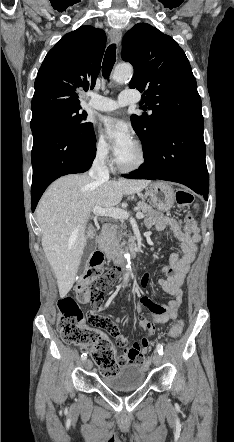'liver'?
<instances>
[{
  "label": "liver",
  "mask_w": 234,
  "mask_h": 442,
  "mask_svg": "<svg viewBox=\"0 0 234 442\" xmlns=\"http://www.w3.org/2000/svg\"><path fill=\"white\" fill-rule=\"evenodd\" d=\"M149 180H98L87 174L66 175L53 182L43 194L37 210L41 243L52 267L63 298L72 288L87 238H93L92 226L86 231L94 207L111 208L123 195L141 192Z\"/></svg>",
  "instance_id": "1"
}]
</instances>
